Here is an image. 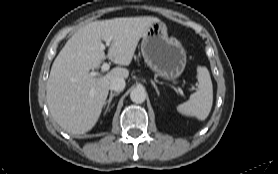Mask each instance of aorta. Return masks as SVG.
<instances>
[{
    "instance_id": "obj_1",
    "label": "aorta",
    "mask_w": 278,
    "mask_h": 174,
    "mask_svg": "<svg viewBox=\"0 0 278 174\" xmlns=\"http://www.w3.org/2000/svg\"><path fill=\"white\" fill-rule=\"evenodd\" d=\"M146 91L144 88L136 87L130 93V98L134 103H143L146 99Z\"/></svg>"
}]
</instances>
